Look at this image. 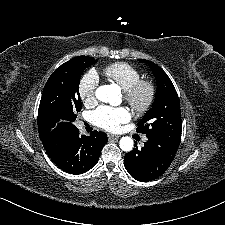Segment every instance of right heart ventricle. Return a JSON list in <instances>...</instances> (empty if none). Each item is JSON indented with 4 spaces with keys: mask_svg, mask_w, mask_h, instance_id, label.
Masks as SVG:
<instances>
[{
    "mask_svg": "<svg viewBox=\"0 0 225 225\" xmlns=\"http://www.w3.org/2000/svg\"><path fill=\"white\" fill-rule=\"evenodd\" d=\"M103 72L107 78L119 85L122 90L128 89L142 77L139 69L126 62L110 64L103 69Z\"/></svg>",
    "mask_w": 225,
    "mask_h": 225,
    "instance_id": "1",
    "label": "right heart ventricle"
}]
</instances>
